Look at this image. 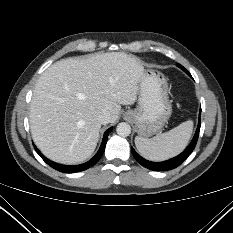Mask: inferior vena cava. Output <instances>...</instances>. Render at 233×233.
Segmentation results:
<instances>
[{
  "label": "inferior vena cava",
  "mask_w": 233,
  "mask_h": 233,
  "mask_svg": "<svg viewBox=\"0 0 233 233\" xmlns=\"http://www.w3.org/2000/svg\"><path fill=\"white\" fill-rule=\"evenodd\" d=\"M98 120L103 125L108 124L110 122V114L107 111H102L98 115Z\"/></svg>",
  "instance_id": "602c4592"
}]
</instances>
